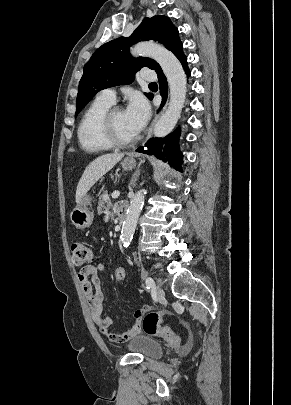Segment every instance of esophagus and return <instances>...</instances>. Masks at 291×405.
I'll return each instance as SVG.
<instances>
[{
    "instance_id": "obj_1",
    "label": "esophagus",
    "mask_w": 291,
    "mask_h": 405,
    "mask_svg": "<svg viewBox=\"0 0 291 405\" xmlns=\"http://www.w3.org/2000/svg\"><path fill=\"white\" fill-rule=\"evenodd\" d=\"M165 108H166V105L164 106V108H163V110L161 111V113L165 110ZM158 118H159V115H157V116L153 119V121L151 122L150 127H149V129H148V133H147L146 140H148V139L151 137L152 131H153V127H154L156 121L158 120Z\"/></svg>"
}]
</instances>
